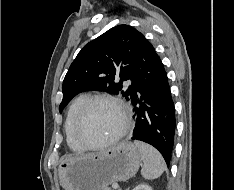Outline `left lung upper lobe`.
Returning <instances> with one entry per match:
<instances>
[{"label": "left lung upper lobe", "instance_id": "obj_1", "mask_svg": "<svg viewBox=\"0 0 234 190\" xmlns=\"http://www.w3.org/2000/svg\"><path fill=\"white\" fill-rule=\"evenodd\" d=\"M142 33L129 25L115 26L85 45L64 78L59 111L78 93L100 90L122 94L129 100L133 89ZM119 80V82H116ZM132 85L123 88V81Z\"/></svg>", "mask_w": 234, "mask_h": 190}]
</instances>
